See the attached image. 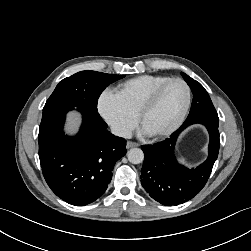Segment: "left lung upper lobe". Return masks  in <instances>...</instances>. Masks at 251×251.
Here are the masks:
<instances>
[{"instance_id": "obj_1", "label": "left lung upper lobe", "mask_w": 251, "mask_h": 251, "mask_svg": "<svg viewBox=\"0 0 251 251\" xmlns=\"http://www.w3.org/2000/svg\"><path fill=\"white\" fill-rule=\"evenodd\" d=\"M184 80L190 86L193 93V101L190 113L185 121L196 118L218 119V114L213 106L209 94L204 87L185 73H181Z\"/></svg>"}]
</instances>
